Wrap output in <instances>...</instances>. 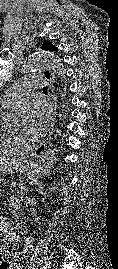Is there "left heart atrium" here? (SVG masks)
Listing matches in <instances>:
<instances>
[{
    "instance_id": "1",
    "label": "left heart atrium",
    "mask_w": 118,
    "mask_h": 269,
    "mask_svg": "<svg viewBox=\"0 0 118 269\" xmlns=\"http://www.w3.org/2000/svg\"><path fill=\"white\" fill-rule=\"evenodd\" d=\"M24 129L32 139L41 137L48 129L50 111L48 106L39 100L30 102L23 115Z\"/></svg>"
}]
</instances>
